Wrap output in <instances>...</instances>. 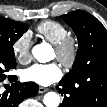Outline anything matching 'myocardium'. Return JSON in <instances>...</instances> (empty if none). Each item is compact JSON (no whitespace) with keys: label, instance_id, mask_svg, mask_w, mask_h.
<instances>
[{"label":"myocardium","instance_id":"1","mask_svg":"<svg viewBox=\"0 0 107 107\" xmlns=\"http://www.w3.org/2000/svg\"><path fill=\"white\" fill-rule=\"evenodd\" d=\"M57 59L67 69L76 63L79 51L78 40L72 36H65L59 43L55 44Z\"/></svg>","mask_w":107,"mask_h":107}]
</instances>
